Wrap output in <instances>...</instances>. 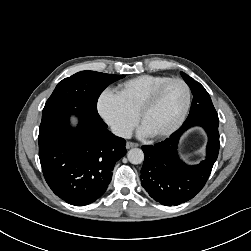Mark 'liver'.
Wrapping results in <instances>:
<instances>
[{
    "label": "liver",
    "mask_w": 251,
    "mask_h": 251,
    "mask_svg": "<svg viewBox=\"0 0 251 251\" xmlns=\"http://www.w3.org/2000/svg\"><path fill=\"white\" fill-rule=\"evenodd\" d=\"M70 122H71L72 126H76V125H77L78 120H77V118H76V117L72 116V117L70 118Z\"/></svg>",
    "instance_id": "6515ba94"
}]
</instances>
